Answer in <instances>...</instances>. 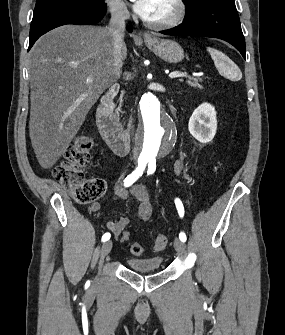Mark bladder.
<instances>
[{
  "mask_svg": "<svg viewBox=\"0 0 285 335\" xmlns=\"http://www.w3.org/2000/svg\"><path fill=\"white\" fill-rule=\"evenodd\" d=\"M162 255L148 257H128V265L132 266L134 272H156V265H161Z\"/></svg>",
  "mask_w": 285,
  "mask_h": 335,
  "instance_id": "31cf9c89",
  "label": "bladder"
}]
</instances>
